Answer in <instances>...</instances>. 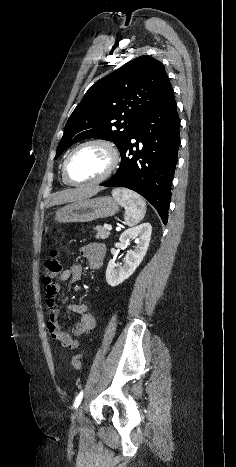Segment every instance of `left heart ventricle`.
<instances>
[{
	"label": "left heart ventricle",
	"mask_w": 236,
	"mask_h": 467,
	"mask_svg": "<svg viewBox=\"0 0 236 467\" xmlns=\"http://www.w3.org/2000/svg\"><path fill=\"white\" fill-rule=\"evenodd\" d=\"M109 165V155L100 146H87L77 151L71 159L69 171L78 182L91 181L101 176Z\"/></svg>",
	"instance_id": "left-heart-ventricle-1"
}]
</instances>
